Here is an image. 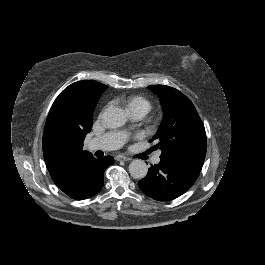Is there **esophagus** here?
<instances>
[{"label": "esophagus", "instance_id": "34e87169", "mask_svg": "<svg viewBox=\"0 0 265 265\" xmlns=\"http://www.w3.org/2000/svg\"><path fill=\"white\" fill-rule=\"evenodd\" d=\"M115 159L118 161H130L131 160V158L123 156V155H117Z\"/></svg>", "mask_w": 265, "mask_h": 265}]
</instances>
